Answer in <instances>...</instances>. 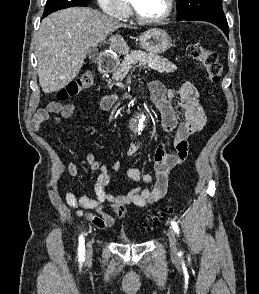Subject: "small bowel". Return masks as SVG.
Returning a JSON list of instances; mask_svg holds the SVG:
<instances>
[{
  "instance_id": "small-bowel-1",
  "label": "small bowel",
  "mask_w": 259,
  "mask_h": 294,
  "mask_svg": "<svg viewBox=\"0 0 259 294\" xmlns=\"http://www.w3.org/2000/svg\"><path fill=\"white\" fill-rule=\"evenodd\" d=\"M148 89L152 102L161 114L163 127L172 137L176 153H167L166 143H160L154 155L155 177L143 174L139 168L129 169L126 172L127 178L133 182H141L143 186L133 188L125 195L118 196L110 194L107 186L109 170H117L119 163L107 166L100 163L93 153H88L86 161L89 168L99 171L94 185L96 197L77 198L73 192L67 191L66 201L70 207L75 209L78 216L87 217L98 229L110 228L117 219H123L126 216L128 205L147 207L162 199L167 191L170 172L187 158L188 138L200 132L206 125L207 116L198 101V91L191 82L185 81L177 89H167L161 82L152 81ZM116 99L115 95H107L101 99L99 106L103 111H108ZM78 108L79 106L74 103L52 102L36 112L31 122L32 129L37 132L41 131L44 123L52 116L57 122L61 118L71 117ZM177 114L182 115V121L177 120ZM138 150V145H131L127 149V156H134ZM69 172L73 177L80 175L74 163L69 164ZM105 206H108L116 217L105 212Z\"/></svg>"
}]
</instances>
